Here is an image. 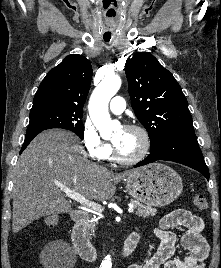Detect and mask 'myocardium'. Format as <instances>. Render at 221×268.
Listing matches in <instances>:
<instances>
[{"label": "myocardium", "mask_w": 221, "mask_h": 268, "mask_svg": "<svg viewBox=\"0 0 221 268\" xmlns=\"http://www.w3.org/2000/svg\"><path fill=\"white\" fill-rule=\"evenodd\" d=\"M124 129L125 130H134V131H137L140 133V135L142 136V139H143L142 149L139 152V154H137L136 156H134L132 158H125L119 153L118 149L113 144L115 159L117 162H119L123 165H133V164L139 163L147 156V154L150 151V147H151L150 135H149L148 131L143 126L138 125V124L126 125L124 127Z\"/></svg>", "instance_id": "1"}]
</instances>
